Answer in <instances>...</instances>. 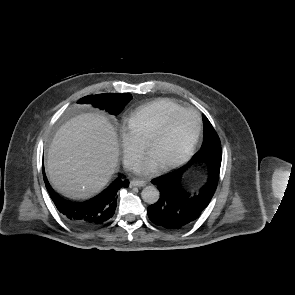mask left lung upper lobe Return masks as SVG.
<instances>
[{
    "label": "left lung upper lobe",
    "instance_id": "left-lung-upper-lobe-1",
    "mask_svg": "<svg viewBox=\"0 0 295 295\" xmlns=\"http://www.w3.org/2000/svg\"><path fill=\"white\" fill-rule=\"evenodd\" d=\"M203 125V146L200 152L194 157L192 163L195 162L198 158L205 156L209 153L222 154L220 139L205 115H203Z\"/></svg>",
    "mask_w": 295,
    "mask_h": 295
}]
</instances>
